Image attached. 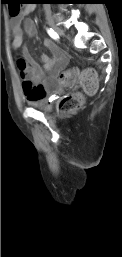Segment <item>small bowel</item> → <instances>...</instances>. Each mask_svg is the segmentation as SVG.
<instances>
[{
    "label": "small bowel",
    "mask_w": 122,
    "mask_h": 257,
    "mask_svg": "<svg viewBox=\"0 0 122 257\" xmlns=\"http://www.w3.org/2000/svg\"><path fill=\"white\" fill-rule=\"evenodd\" d=\"M34 10L33 5H26L24 9L11 20L12 47L22 52H13L18 73L22 82L23 94L28 101L43 99L47 94L57 87L56 79L67 64L68 57L66 53L58 47L52 40L45 39L44 46L50 52V55L42 54L40 66L31 56L28 46L23 44V32L29 37H35L37 30L32 20L27 16Z\"/></svg>",
    "instance_id": "small-bowel-1"
}]
</instances>
